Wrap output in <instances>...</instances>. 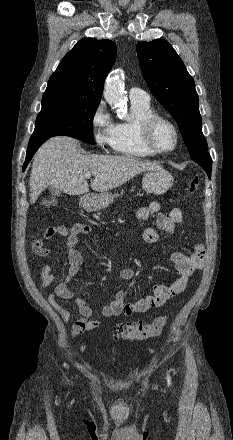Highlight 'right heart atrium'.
I'll use <instances>...</instances> for the list:
<instances>
[{
  "mask_svg": "<svg viewBox=\"0 0 233 440\" xmlns=\"http://www.w3.org/2000/svg\"><path fill=\"white\" fill-rule=\"evenodd\" d=\"M94 141L101 148L113 147L114 123L104 102L98 103L91 117Z\"/></svg>",
  "mask_w": 233,
  "mask_h": 440,
  "instance_id": "obj_1",
  "label": "right heart atrium"
}]
</instances>
